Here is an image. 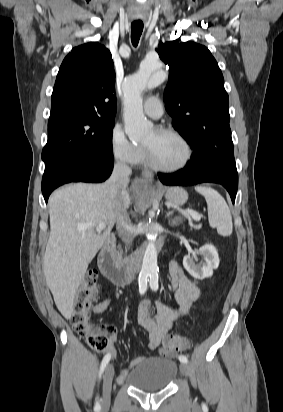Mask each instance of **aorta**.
<instances>
[{"instance_id": "762f6f07", "label": "aorta", "mask_w": 283, "mask_h": 412, "mask_svg": "<svg viewBox=\"0 0 283 412\" xmlns=\"http://www.w3.org/2000/svg\"><path fill=\"white\" fill-rule=\"evenodd\" d=\"M162 63L153 61L142 64L139 71L127 77L123 84L124 94V123L125 132L130 140L136 141L142 139L151 132L152 125L144 116L142 92L145 88H152L160 85L165 80V74L162 72ZM137 189L140 193L146 191V185L143 181L137 183ZM148 245L146 246L141 277L157 275V251L155 247L156 234L150 232L147 234Z\"/></svg>"}]
</instances>
